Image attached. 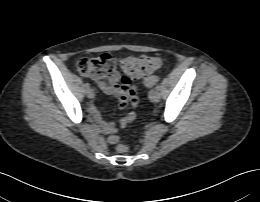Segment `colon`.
I'll return each instance as SVG.
<instances>
[{"label":"colon","instance_id":"1","mask_svg":"<svg viewBox=\"0 0 260 202\" xmlns=\"http://www.w3.org/2000/svg\"><path fill=\"white\" fill-rule=\"evenodd\" d=\"M161 58L153 55L115 57L113 54H102L93 58H81L76 63L77 71L99 83L108 82L118 77V69L123 73L121 82L129 84L133 79L142 78L146 86L158 83V76L153 73L161 66ZM119 153H126L128 147L120 144Z\"/></svg>","mask_w":260,"mask_h":202}]
</instances>
